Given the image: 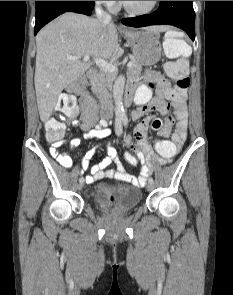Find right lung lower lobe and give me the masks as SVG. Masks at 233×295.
Instances as JSON below:
<instances>
[{
	"label": "right lung lower lobe",
	"instance_id": "right-lung-lower-lobe-1",
	"mask_svg": "<svg viewBox=\"0 0 233 295\" xmlns=\"http://www.w3.org/2000/svg\"><path fill=\"white\" fill-rule=\"evenodd\" d=\"M94 1H36L35 35L48 22L64 12L90 15Z\"/></svg>",
	"mask_w": 233,
	"mask_h": 295
}]
</instances>
